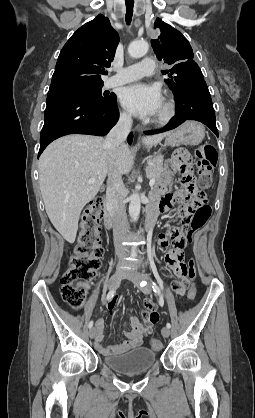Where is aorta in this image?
I'll use <instances>...</instances> for the list:
<instances>
[{
	"label": "aorta",
	"instance_id": "762f6f07",
	"mask_svg": "<svg viewBox=\"0 0 255 418\" xmlns=\"http://www.w3.org/2000/svg\"><path fill=\"white\" fill-rule=\"evenodd\" d=\"M148 49L149 45L146 41H133L128 47V53L133 58H139L144 56ZM140 208V197L137 193H133L130 196L129 214L134 222L139 218Z\"/></svg>",
	"mask_w": 255,
	"mask_h": 418
}]
</instances>
